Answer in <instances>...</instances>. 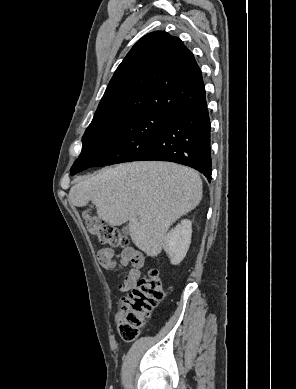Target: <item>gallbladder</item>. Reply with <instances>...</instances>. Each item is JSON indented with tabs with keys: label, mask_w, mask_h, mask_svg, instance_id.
I'll return each instance as SVG.
<instances>
[{
	"label": "gallbladder",
	"mask_w": 296,
	"mask_h": 389,
	"mask_svg": "<svg viewBox=\"0 0 296 389\" xmlns=\"http://www.w3.org/2000/svg\"><path fill=\"white\" fill-rule=\"evenodd\" d=\"M122 231H123V233L127 234L128 233V228L125 227V228L122 229Z\"/></svg>",
	"instance_id": "obj_1"
}]
</instances>
